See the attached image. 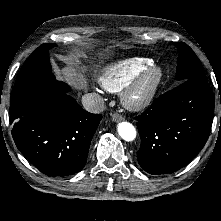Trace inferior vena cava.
I'll return each instance as SVG.
<instances>
[{
    "mask_svg": "<svg viewBox=\"0 0 221 221\" xmlns=\"http://www.w3.org/2000/svg\"><path fill=\"white\" fill-rule=\"evenodd\" d=\"M82 105L85 110L92 113H101L105 110L103 98L96 93H87L82 96Z\"/></svg>",
    "mask_w": 221,
    "mask_h": 221,
    "instance_id": "obj_1",
    "label": "inferior vena cava"
}]
</instances>
